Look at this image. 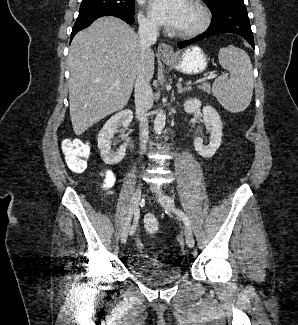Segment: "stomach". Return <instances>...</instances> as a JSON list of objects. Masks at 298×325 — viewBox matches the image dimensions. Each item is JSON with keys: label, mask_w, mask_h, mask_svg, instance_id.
<instances>
[{"label": "stomach", "mask_w": 298, "mask_h": 325, "mask_svg": "<svg viewBox=\"0 0 298 325\" xmlns=\"http://www.w3.org/2000/svg\"><path fill=\"white\" fill-rule=\"evenodd\" d=\"M161 60L182 74H201L207 70L209 64L208 54L197 44L178 50L173 58H161Z\"/></svg>", "instance_id": "obj_1"}]
</instances>
